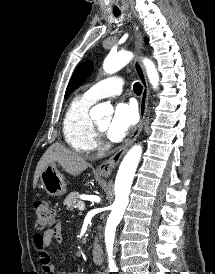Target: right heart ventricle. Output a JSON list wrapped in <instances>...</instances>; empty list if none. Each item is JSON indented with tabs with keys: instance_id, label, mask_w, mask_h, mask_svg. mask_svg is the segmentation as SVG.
I'll return each mask as SVG.
<instances>
[{
	"instance_id": "right-heart-ventricle-1",
	"label": "right heart ventricle",
	"mask_w": 215,
	"mask_h": 274,
	"mask_svg": "<svg viewBox=\"0 0 215 274\" xmlns=\"http://www.w3.org/2000/svg\"><path fill=\"white\" fill-rule=\"evenodd\" d=\"M95 101L85 94L76 96L70 102L63 119L62 131L69 147L80 153L95 148L96 131L89 111Z\"/></svg>"
}]
</instances>
